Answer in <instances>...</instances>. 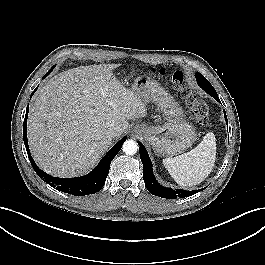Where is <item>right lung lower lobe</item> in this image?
Segmentation results:
<instances>
[{
  "label": "right lung lower lobe",
  "mask_w": 265,
  "mask_h": 265,
  "mask_svg": "<svg viewBox=\"0 0 265 265\" xmlns=\"http://www.w3.org/2000/svg\"><path fill=\"white\" fill-rule=\"evenodd\" d=\"M52 69H50L46 73L44 78L52 71ZM37 88L32 92V95L37 90ZM28 111H29V105L27 106L26 115H25V119L23 123V139H24L26 151H27L29 160L31 162V165L33 169L35 170V172L38 174V176L42 178L43 180L49 182L52 187H56L59 191L72 194L75 196H84V195L94 194L98 192L104 186L105 180L109 173L111 161L120 151L124 141L126 140V136L122 138L117 144H115L110 149V151L99 162L97 167L93 171H91L89 174L82 176V177H76V178L51 177L46 172L38 168V166L35 164L31 156L29 146H28V141H27Z\"/></svg>",
  "instance_id": "obj_1"
}]
</instances>
